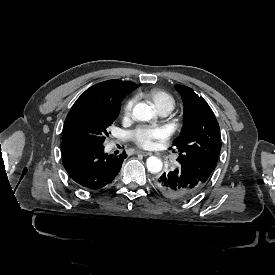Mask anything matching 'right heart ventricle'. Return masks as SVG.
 Segmentation results:
<instances>
[{
  "label": "right heart ventricle",
  "instance_id": "right-heart-ventricle-1",
  "mask_svg": "<svg viewBox=\"0 0 275 275\" xmlns=\"http://www.w3.org/2000/svg\"><path fill=\"white\" fill-rule=\"evenodd\" d=\"M149 95L155 101L160 110L168 109L170 111L174 106V99L163 91L154 89L150 91Z\"/></svg>",
  "mask_w": 275,
  "mask_h": 275
}]
</instances>
